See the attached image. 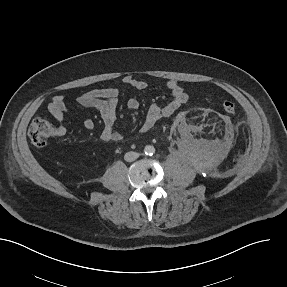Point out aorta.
I'll return each instance as SVG.
<instances>
[{"label": "aorta", "mask_w": 287, "mask_h": 287, "mask_svg": "<svg viewBox=\"0 0 287 287\" xmlns=\"http://www.w3.org/2000/svg\"><path fill=\"white\" fill-rule=\"evenodd\" d=\"M144 152L146 155H152L155 152V148L151 145H147L144 148Z\"/></svg>", "instance_id": "aorta-1"}]
</instances>
